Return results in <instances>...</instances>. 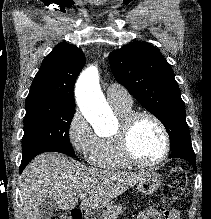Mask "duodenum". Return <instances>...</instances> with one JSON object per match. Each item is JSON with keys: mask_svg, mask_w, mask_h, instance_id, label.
Here are the masks:
<instances>
[{"mask_svg": "<svg viewBox=\"0 0 211 219\" xmlns=\"http://www.w3.org/2000/svg\"><path fill=\"white\" fill-rule=\"evenodd\" d=\"M97 214H98V211L94 209H87L85 211L86 219H94Z\"/></svg>", "mask_w": 211, "mask_h": 219, "instance_id": "410a0bca", "label": "duodenum"}]
</instances>
